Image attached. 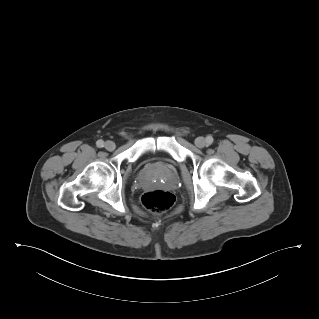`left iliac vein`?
Returning a JSON list of instances; mask_svg holds the SVG:
<instances>
[{
	"mask_svg": "<svg viewBox=\"0 0 319 319\" xmlns=\"http://www.w3.org/2000/svg\"><path fill=\"white\" fill-rule=\"evenodd\" d=\"M195 145L198 147V148H203L206 146V140L203 138V137H197L195 139Z\"/></svg>",
	"mask_w": 319,
	"mask_h": 319,
	"instance_id": "obj_1",
	"label": "left iliac vein"
}]
</instances>
